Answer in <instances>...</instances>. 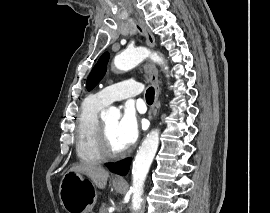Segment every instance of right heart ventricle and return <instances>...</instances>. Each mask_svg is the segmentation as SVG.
<instances>
[{"label": "right heart ventricle", "instance_id": "obj_1", "mask_svg": "<svg viewBox=\"0 0 270 213\" xmlns=\"http://www.w3.org/2000/svg\"><path fill=\"white\" fill-rule=\"evenodd\" d=\"M105 106L97 102L95 96L84 100L76 120L75 148L78 158L87 163L104 160L96 141L99 112Z\"/></svg>", "mask_w": 270, "mask_h": 213}]
</instances>
